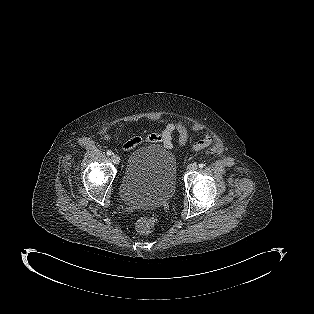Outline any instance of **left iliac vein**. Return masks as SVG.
<instances>
[{
    "label": "left iliac vein",
    "instance_id": "obj_1",
    "mask_svg": "<svg viewBox=\"0 0 314 314\" xmlns=\"http://www.w3.org/2000/svg\"><path fill=\"white\" fill-rule=\"evenodd\" d=\"M197 168H198V166H197V164H195V163H190V164L187 166V170H188V171H195V170H197Z\"/></svg>",
    "mask_w": 314,
    "mask_h": 314
}]
</instances>
